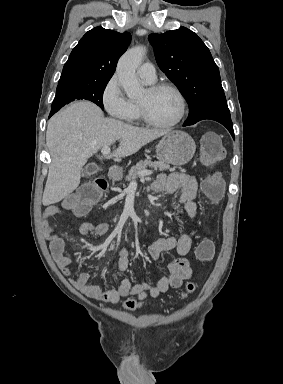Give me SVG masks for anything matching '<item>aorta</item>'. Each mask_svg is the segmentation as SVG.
I'll return each instance as SVG.
<instances>
[{"mask_svg":"<svg viewBox=\"0 0 283 384\" xmlns=\"http://www.w3.org/2000/svg\"><path fill=\"white\" fill-rule=\"evenodd\" d=\"M145 52V47L137 46L126 51L119 59L116 69L118 79L129 98H138L144 91L135 72L141 64Z\"/></svg>","mask_w":283,"mask_h":384,"instance_id":"aorta-1","label":"aorta"}]
</instances>
